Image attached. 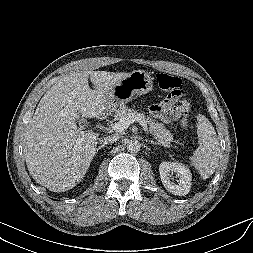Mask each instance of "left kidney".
<instances>
[{"label": "left kidney", "instance_id": "1", "mask_svg": "<svg viewBox=\"0 0 253 253\" xmlns=\"http://www.w3.org/2000/svg\"><path fill=\"white\" fill-rule=\"evenodd\" d=\"M161 181L167 191L174 195L185 196L191 188L192 176L189 169L177 162H162L159 165ZM176 174L177 184L173 181L172 174Z\"/></svg>", "mask_w": 253, "mask_h": 253}]
</instances>
